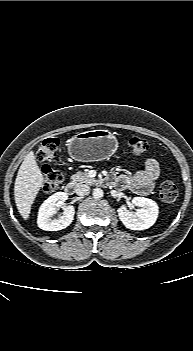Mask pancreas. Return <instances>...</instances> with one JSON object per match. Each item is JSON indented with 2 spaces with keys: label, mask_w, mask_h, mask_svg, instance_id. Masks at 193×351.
Segmentation results:
<instances>
[{
  "label": "pancreas",
  "mask_w": 193,
  "mask_h": 351,
  "mask_svg": "<svg viewBox=\"0 0 193 351\" xmlns=\"http://www.w3.org/2000/svg\"><path fill=\"white\" fill-rule=\"evenodd\" d=\"M72 183L74 185H79L81 183L94 184L96 183L95 178L89 177L87 173L78 171L76 174L71 177Z\"/></svg>",
  "instance_id": "obj_1"
}]
</instances>
